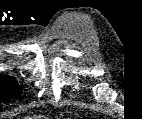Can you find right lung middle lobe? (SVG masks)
<instances>
[{"instance_id": "right-lung-middle-lobe-1", "label": "right lung middle lobe", "mask_w": 142, "mask_h": 119, "mask_svg": "<svg viewBox=\"0 0 142 119\" xmlns=\"http://www.w3.org/2000/svg\"><path fill=\"white\" fill-rule=\"evenodd\" d=\"M22 87L13 77L0 75V103L20 95Z\"/></svg>"}]
</instances>
